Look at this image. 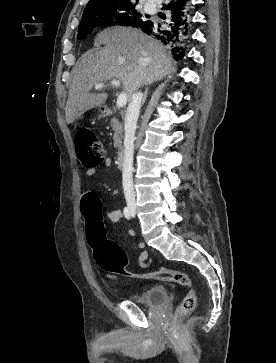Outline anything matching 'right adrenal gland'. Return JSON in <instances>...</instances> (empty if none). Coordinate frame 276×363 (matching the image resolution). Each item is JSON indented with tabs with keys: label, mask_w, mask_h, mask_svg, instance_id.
<instances>
[{
	"label": "right adrenal gland",
	"mask_w": 276,
	"mask_h": 363,
	"mask_svg": "<svg viewBox=\"0 0 276 363\" xmlns=\"http://www.w3.org/2000/svg\"><path fill=\"white\" fill-rule=\"evenodd\" d=\"M147 93H148V89L145 90L144 95H143V100H142V106L144 105L146 98H147Z\"/></svg>",
	"instance_id": "obj_1"
}]
</instances>
